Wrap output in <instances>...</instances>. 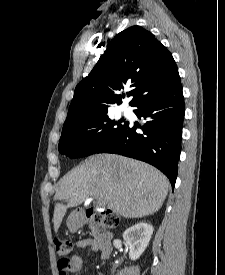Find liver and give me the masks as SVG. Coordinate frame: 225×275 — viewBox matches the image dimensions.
Here are the masks:
<instances>
[{
	"instance_id": "obj_1",
	"label": "liver",
	"mask_w": 225,
	"mask_h": 275,
	"mask_svg": "<svg viewBox=\"0 0 225 275\" xmlns=\"http://www.w3.org/2000/svg\"><path fill=\"white\" fill-rule=\"evenodd\" d=\"M170 183L164 174L144 162L115 154L85 159L59 182L53 223L57 232L67 212L89 197L125 218H142L158 211Z\"/></svg>"
}]
</instances>
